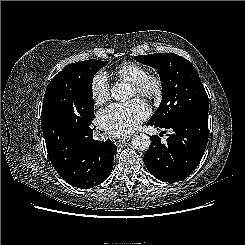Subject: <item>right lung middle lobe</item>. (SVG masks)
Listing matches in <instances>:
<instances>
[{
	"label": "right lung middle lobe",
	"instance_id": "obj_1",
	"mask_svg": "<svg viewBox=\"0 0 245 245\" xmlns=\"http://www.w3.org/2000/svg\"><path fill=\"white\" fill-rule=\"evenodd\" d=\"M107 63V61L90 59L69 64L77 89V97L75 106L71 107L63 119L66 130L74 132L91 130L90 125L94 118L92 80L94 74Z\"/></svg>",
	"mask_w": 245,
	"mask_h": 245
}]
</instances>
